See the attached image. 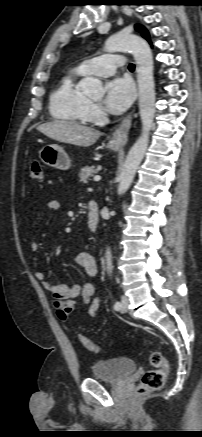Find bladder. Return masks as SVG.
<instances>
[{
    "mask_svg": "<svg viewBox=\"0 0 202 437\" xmlns=\"http://www.w3.org/2000/svg\"><path fill=\"white\" fill-rule=\"evenodd\" d=\"M136 368L133 359L118 357L95 362L91 366V375L95 379L116 383L131 375Z\"/></svg>",
    "mask_w": 202,
    "mask_h": 437,
    "instance_id": "1",
    "label": "bladder"
}]
</instances>
